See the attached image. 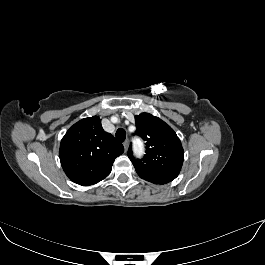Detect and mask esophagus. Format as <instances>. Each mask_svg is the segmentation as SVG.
Returning <instances> with one entry per match:
<instances>
[{
    "instance_id": "esophagus-1",
    "label": "esophagus",
    "mask_w": 265,
    "mask_h": 265,
    "mask_svg": "<svg viewBox=\"0 0 265 265\" xmlns=\"http://www.w3.org/2000/svg\"><path fill=\"white\" fill-rule=\"evenodd\" d=\"M123 146H124V149H125V152L128 150V147H129V140L126 139L124 142H123Z\"/></svg>"
}]
</instances>
